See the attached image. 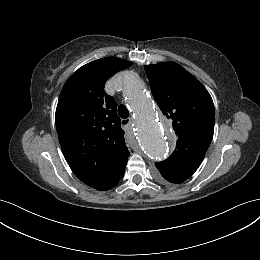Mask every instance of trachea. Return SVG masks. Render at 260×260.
Masks as SVG:
<instances>
[{
	"label": "trachea",
	"mask_w": 260,
	"mask_h": 260,
	"mask_svg": "<svg viewBox=\"0 0 260 260\" xmlns=\"http://www.w3.org/2000/svg\"><path fill=\"white\" fill-rule=\"evenodd\" d=\"M118 114L121 118H128L129 117V111L124 105H120L118 107Z\"/></svg>",
	"instance_id": "3493384b"
}]
</instances>
